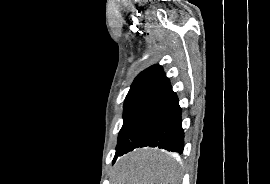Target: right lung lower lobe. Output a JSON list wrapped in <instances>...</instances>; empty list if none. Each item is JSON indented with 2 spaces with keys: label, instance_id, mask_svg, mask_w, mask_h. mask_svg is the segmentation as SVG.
I'll use <instances>...</instances> for the list:
<instances>
[{
  "label": "right lung lower lobe",
  "instance_id": "98d812e1",
  "mask_svg": "<svg viewBox=\"0 0 270 184\" xmlns=\"http://www.w3.org/2000/svg\"><path fill=\"white\" fill-rule=\"evenodd\" d=\"M181 108L171 85L152 95L133 122L118 156L139 147H159L182 153Z\"/></svg>",
  "mask_w": 270,
  "mask_h": 184
}]
</instances>
